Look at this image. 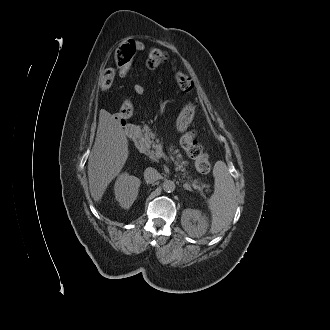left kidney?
I'll list each match as a JSON object with an SVG mask.
<instances>
[{"instance_id": "obj_1", "label": "left kidney", "mask_w": 330, "mask_h": 330, "mask_svg": "<svg viewBox=\"0 0 330 330\" xmlns=\"http://www.w3.org/2000/svg\"><path fill=\"white\" fill-rule=\"evenodd\" d=\"M181 225L191 237H201L207 231L208 221L201 211L185 209L181 216Z\"/></svg>"}]
</instances>
